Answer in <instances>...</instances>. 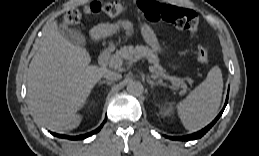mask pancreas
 Returning <instances> with one entry per match:
<instances>
[{
  "label": "pancreas",
  "mask_w": 259,
  "mask_h": 156,
  "mask_svg": "<svg viewBox=\"0 0 259 156\" xmlns=\"http://www.w3.org/2000/svg\"><path fill=\"white\" fill-rule=\"evenodd\" d=\"M141 58H147L150 62L153 63L152 69L157 76H166L165 70L159 65V59L157 55L154 54L153 50L149 47L143 45L133 46H124L109 59V65L114 68H119L116 66L115 62L123 60H138Z\"/></svg>",
  "instance_id": "pancreas-1"
}]
</instances>
